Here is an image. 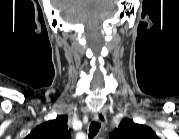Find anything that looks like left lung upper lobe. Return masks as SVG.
<instances>
[{"instance_id": "left-lung-upper-lobe-1", "label": "left lung upper lobe", "mask_w": 179, "mask_h": 139, "mask_svg": "<svg viewBox=\"0 0 179 139\" xmlns=\"http://www.w3.org/2000/svg\"><path fill=\"white\" fill-rule=\"evenodd\" d=\"M113 139H156L154 132L147 126L136 124L125 118L112 133Z\"/></svg>"}]
</instances>
